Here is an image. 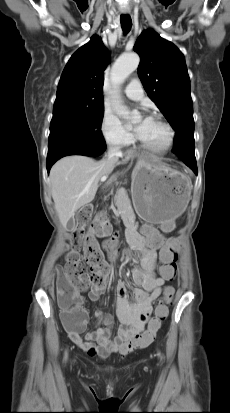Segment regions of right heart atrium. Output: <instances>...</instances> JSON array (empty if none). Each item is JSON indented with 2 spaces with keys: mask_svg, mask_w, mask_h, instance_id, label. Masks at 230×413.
Masks as SVG:
<instances>
[{
  "mask_svg": "<svg viewBox=\"0 0 230 413\" xmlns=\"http://www.w3.org/2000/svg\"><path fill=\"white\" fill-rule=\"evenodd\" d=\"M100 131L103 140L108 145L116 148L126 147L132 141L130 133L123 127L119 119L110 112L103 114Z\"/></svg>",
  "mask_w": 230,
  "mask_h": 413,
  "instance_id": "1",
  "label": "right heart atrium"
}]
</instances>
